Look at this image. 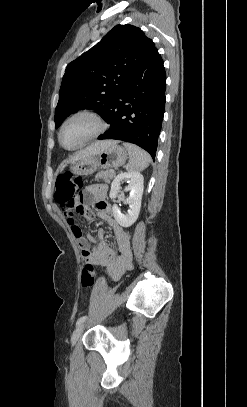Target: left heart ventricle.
<instances>
[{
    "instance_id": "1",
    "label": "left heart ventricle",
    "mask_w": 247,
    "mask_h": 407,
    "mask_svg": "<svg viewBox=\"0 0 247 407\" xmlns=\"http://www.w3.org/2000/svg\"><path fill=\"white\" fill-rule=\"evenodd\" d=\"M96 130V124L88 117H77L64 127L62 144L65 147H74L84 141Z\"/></svg>"
}]
</instances>
